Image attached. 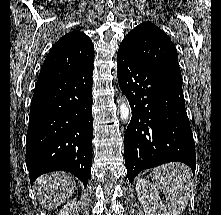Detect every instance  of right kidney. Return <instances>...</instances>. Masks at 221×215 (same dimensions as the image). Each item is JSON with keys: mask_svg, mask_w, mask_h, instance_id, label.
<instances>
[{"mask_svg": "<svg viewBox=\"0 0 221 215\" xmlns=\"http://www.w3.org/2000/svg\"><path fill=\"white\" fill-rule=\"evenodd\" d=\"M76 200H70L69 202H67V204L60 210L58 215H70L71 211L73 210L75 204H76Z\"/></svg>", "mask_w": 221, "mask_h": 215, "instance_id": "ca27d5eb", "label": "right kidney"}]
</instances>
